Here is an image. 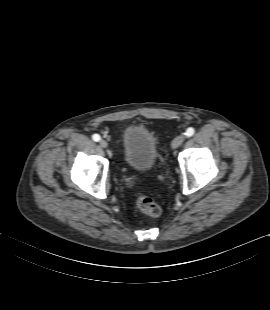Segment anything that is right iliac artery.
<instances>
[{
    "label": "right iliac artery",
    "instance_id": "82829eb1",
    "mask_svg": "<svg viewBox=\"0 0 270 310\" xmlns=\"http://www.w3.org/2000/svg\"><path fill=\"white\" fill-rule=\"evenodd\" d=\"M92 139H93L94 141L98 142L101 138H100V136H99L98 134H94V135L92 136Z\"/></svg>",
    "mask_w": 270,
    "mask_h": 310
}]
</instances>
